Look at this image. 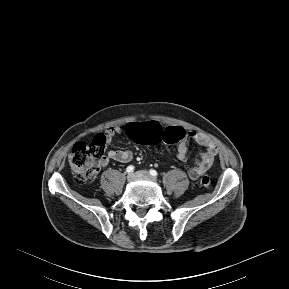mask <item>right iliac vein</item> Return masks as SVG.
Wrapping results in <instances>:
<instances>
[{
    "instance_id": "1",
    "label": "right iliac vein",
    "mask_w": 289,
    "mask_h": 289,
    "mask_svg": "<svg viewBox=\"0 0 289 289\" xmlns=\"http://www.w3.org/2000/svg\"><path fill=\"white\" fill-rule=\"evenodd\" d=\"M136 178H137V176H136L135 173H130V174H128V176H127V180H128L129 182L134 181Z\"/></svg>"
}]
</instances>
